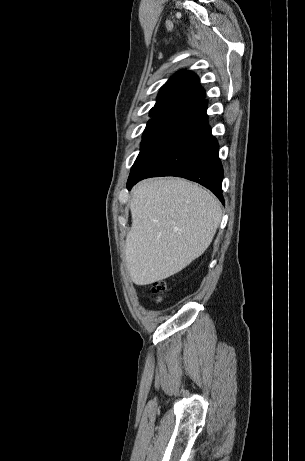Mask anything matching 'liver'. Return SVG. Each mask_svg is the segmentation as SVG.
<instances>
[{
  "label": "liver",
  "mask_w": 305,
  "mask_h": 461,
  "mask_svg": "<svg viewBox=\"0 0 305 461\" xmlns=\"http://www.w3.org/2000/svg\"><path fill=\"white\" fill-rule=\"evenodd\" d=\"M130 210L125 261L131 280L141 286L173 276L201 256L222 217L216 198L179 178L138 183Z\"/></svg>",
  "instance_id": "liver-1"
}]
</instances>
